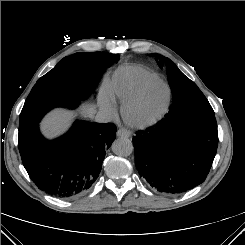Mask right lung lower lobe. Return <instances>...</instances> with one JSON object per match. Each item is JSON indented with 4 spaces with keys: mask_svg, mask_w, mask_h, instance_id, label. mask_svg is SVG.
Segmentation results:
<instances>
[{
    "mask_svg": "<svg viewBox=\"0 0 245 245\" xmlns=\"http://www.w3.org/2000/svg\"><path fill=\"white\" fill-rule=\"evenodd\" d=\"M79 63L88 83L98 84L107 68L94 55L81 57ZM115 137L114 124L77 120L65 135L50 141L36 124L19 131L18 147L29 177L40 189L58 198H73L96 181L105 150Z\"/></svg>",
    "mask_w": 245,
    "mask_h": 245,
    "instance_id": "right-lung-lower-lobe-1",
    "label": "right lung lower lobe"
}]
</instances>
